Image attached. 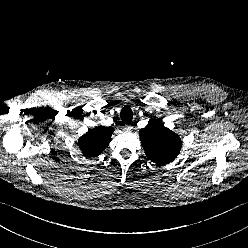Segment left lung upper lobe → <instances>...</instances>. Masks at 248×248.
Here are the masks:
<instances>
[{
    "label": "left lung upper lobe",
    "mask_w": 248,
    "mask_h": 248,
    "mask_svg": "<svg viewBox=\"0 0 248 248\" xmlns=\"http://www.w3.org/2000/svg\"><path fill=\"white\" fill-rule=\"evenodd\" d=\"M139 135L146 156L156 164L172 162L181 150L180 137L156 120L150 121Z\"/></svg>",
    "instance_id": "obj_1"
}]
</instances>
